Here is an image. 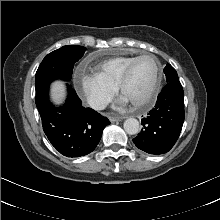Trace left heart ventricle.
Segmentation results:
<instances>
[{
  "label": "left heart ventricle",
  "instance_id": "b2bd125f",
  "mask_svg": "<svg viewBox=\"0 0 220 220\" xmlns=\"http://www.w3.org/2000/svg\"><path fill=\"white\" fill-rule=\"evenodd\" d=\"M155 72V62L151 57L138 61L124 89L123 97L130 102L142 99L152 85Z\"/></svg>",
  "mask_w": 220,
  "mask_h": 220
}]
</instances>
